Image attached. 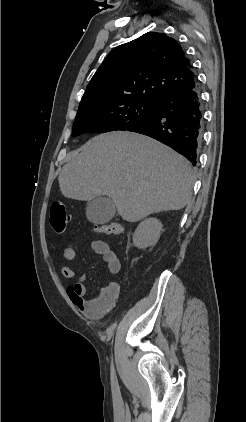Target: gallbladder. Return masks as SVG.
I'll list each match as a JSON object with an SVG mask.
<instances>
[{
	"label": "gallbladder",
	"mask_w": 246,
	"mask_h": 422,
	"mask_svg": "<svg viewBox=\"0 0 246 422\" xmlns=\"http://www.w3.org/2000/svg\"><path fill=\"white\" fill-rule=\"evenodd\" d=\"M116 213L113 200L107 196H99L87 204L86 217L94 224L108 223Z\"/></svg>",
	"instance_id": "1"
}]
</instances>
